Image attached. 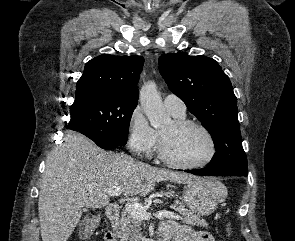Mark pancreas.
<instances>
[{"label":"pancreas","mask_w":295,"mask_h":241,"mask_svg":"<svg viewBox=\"0 0 295 241\" xmlns=\"http://www.w3.org/2000/svg\"><path fill=\"white\" fill-rule=\"evenodd\" d=\"M146 204L147 201H145L144 205ZM173 208L183 216L181 220L184 223L208 228V223L205 220L200 219L198 215L186 209L180 201H176ZM112 229L121 241H141L143 238L140 220L134 217L127 209L122 211L120 219L112 223Z\"/></svg>","instance_id":"pancreas-1"}]
</instances>
